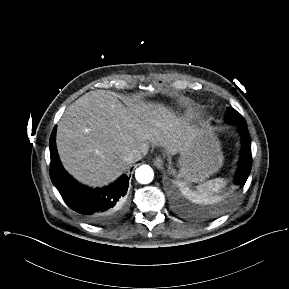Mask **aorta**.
<instances>
[{"label":"aorta","instance_id":"aorta-1","mask_svg":"<svg viewBox=\"0 0 289 289\" xmlns=\"http://www.w3.org/2000/svg\"><path fill=\"white\" fill-rule=\"evenodd\" d=\"M154 173L149 165H141L136 169L135 178L141 184H148L153 180Z\"/></svg>","mask_w":289,"mask_h":289}]
</instances>
